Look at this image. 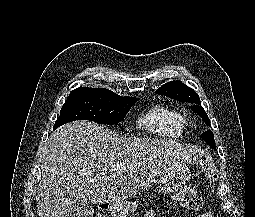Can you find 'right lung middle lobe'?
I'll return each instance as SVG.
<instances>
[{"instance_id":"dd1d6c3e","label":"right lung middle lobe","mask_w":255,"mask_h":217,"mask_svg":"<svg viewBox=\"0 0 255 217\" xmlns=\"http://www.w3.org/2000/svg\"><path fill=\"white\" fill-rule=\"evenodd\" d=\"M134 97L90 91L71 92L54 124L56 129L75 120H90L100 124H117L136 103Z\"/></svg>"}]
</instances>
